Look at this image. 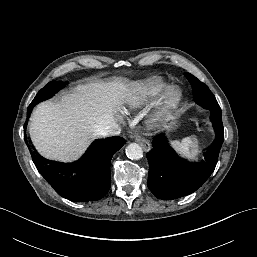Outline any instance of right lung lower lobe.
<instances>
[{
    "mask_svg": "<svg viewBox=\"0 0 257 257\" xmlns=\"http://www.w3.org/2000/svg\"><path fill=\"white\" fill-rule=\"evenodd\" d=\"M32 108L28 107L27 116ZM124 143L125 140L117 136L96 139L84 155L73 163H57L30 153L39 173L59 195L76 202L96 201L110 189V162Z\"/></svg>",
    "mask_w": 257,
    "mask_h": 257,
    "instance_id": "1",
    "label": "right lung lower lobe"
}]
</instances>
